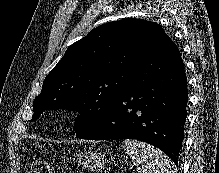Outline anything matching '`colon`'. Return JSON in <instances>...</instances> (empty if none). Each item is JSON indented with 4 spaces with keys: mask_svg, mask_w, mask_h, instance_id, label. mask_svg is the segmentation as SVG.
<instances>
[{
    "mask_svg": "<svg viewBox=\"0 0 219 173\" xmlns=\"http://www.w3.org/2000/svg\"><path fill=\"white\" fill-rule=\"evenodd\" d=\"M30 173H51L49 163L44 159H37L32 163Z\"/></svg>",
    "mask_w": 219,
    "mask_h": 173,
    "instance_id": "obj_1",
    "label": "colon"
}]
</instances>
